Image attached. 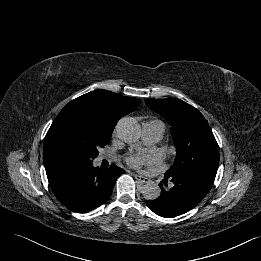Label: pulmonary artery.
I'll return each instance as SVG.
<instances>
[{
    "mask_svg": "<svg viewBox=\"0 0 261 261\" xmlns=\"http://www.w3.org/2000/svg\"><path fill=\"white\" fill-rule=\"evenodd\" d=\"M163 132L164 125L160 121L146 122L142 129L143 140L146 144H154L162 138Z\"/></svg>",
    "mask_w": 261,
    "mask_h": 261,
    "instance_id": "pulmonary-artery-1",
    "label": "pulmonary artery"
}]
</instances>
